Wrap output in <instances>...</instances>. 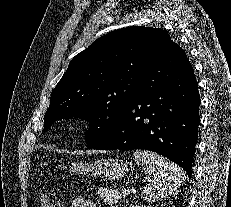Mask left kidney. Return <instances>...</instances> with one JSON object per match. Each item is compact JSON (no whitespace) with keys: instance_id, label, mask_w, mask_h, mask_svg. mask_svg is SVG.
<instances>
[{"instance_id":"1","label":"left kidney","mask_w":231,"mask_h":207,"mask_svg":"<svg viewBox=\"0 0 231 207\" xmlns=\"http://www.w3.org/2000/svg\"><path fill=\"white\" fill-rule=\"evenodd\" d=\"M130 207H149V206H143V205H131Z\"/></svg>"}]
</instances>
